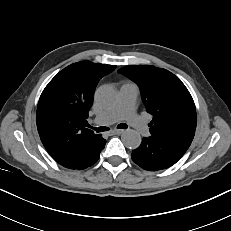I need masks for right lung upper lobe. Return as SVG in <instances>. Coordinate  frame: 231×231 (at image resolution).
<instances>
[{
    "label": "right lung upper lobe",
    "instance_id": "obj_1",
    "mask_svg": "<svg viewBox=\"0 0 231 231\" xmlns=\"http://www.w3.org/2000/svg\"><path fill=\"white\" fill-rule=\"evenodd\" d=\"M116 66L90 61L69 65L60 71L43 90L36 114L40 139L56 160L97 139L85 128L97 83Z\"/></svg>",
    "mask_w": 231,
    "mask_h": 231
}]
</instances>
